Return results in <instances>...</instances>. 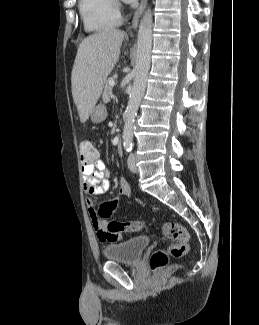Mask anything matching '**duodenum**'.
Returning <instances> with one entry per match:
<instances>
[{
  "label": "duodenum",
  "instance_id": "duodenum-1",
  "mask_svg": "<svg viewBox=\"0 0 259 325\" xmlns=\"http://www.w3.org/2000/svg\"><path fill=\"white\" fill-rule=\"evenodd\" d=\"M116 147H117V150H121L122 148V140L121 138H118L117 142H116Z\"/></svg>",
  "mask_w": 259,
  "mask_h": 325
}]
</instances>
